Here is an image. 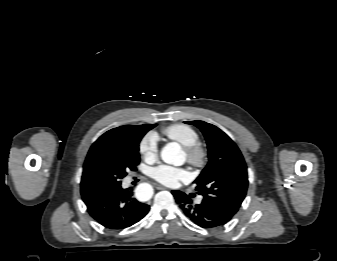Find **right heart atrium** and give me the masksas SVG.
<instances>
[{
	"mask_svg": "<svg viewBox=\"0 0 337 261\" xmlns=\"http://www.w3.org/2000/svg\"><path fill=\"white\" fill-rule=\"evenodd\" d=\"M140 153L149 161L156 159L158 154V141L154 133H149L142 139L140 143Z\"/></svg>",
	"mask_w": 337,
	"mask_h": 261,
	"instance_id": "obj_1",
	"label": "right heart atrium"
}]
</instances>
